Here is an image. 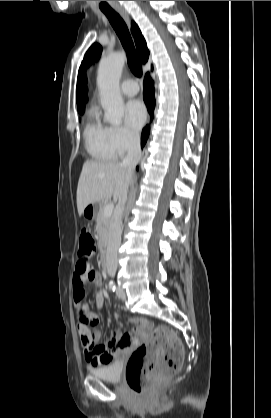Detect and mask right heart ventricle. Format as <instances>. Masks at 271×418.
I'll list each match as a JSON object with an SVG mask.
<instances>
[{"label":"right heart ventricle","instance_id":"right-heart-ventricle-1","mask_svg":"<svg viewBox=\"0 0 271 418\" xmlns=\"http://www.w3.org/2000/svg\"><path fill=\"white\" fill-rule=\"evenodd\" d=\"M83 137L85 148L93 159L109 161L117 157L110 140V127L99 119L94 109L88 114Z\"/></svg>","mask_w":271,"mask_h":418}]
</instances>
